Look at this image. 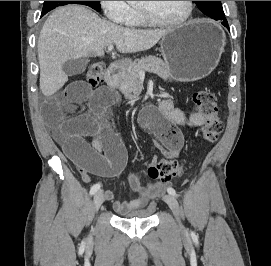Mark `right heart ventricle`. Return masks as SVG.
<instances>
[{
    "mask_svg": "<svg viewBox=\"0 0 271 266\" xmlns=\"http://www.w3.org/2000/svg\"><path fill=\"white\" fill-rule=\"evenodd\" d=\"M147 21L143 18L139 9H133L132 17L128 23L129 26H145Z\"/></svg>",
    "mask_w": 271,
    "mask_h": 266,
    "instance_id": "1",
    "label": "right heart ventricle"
}]
</instances>
